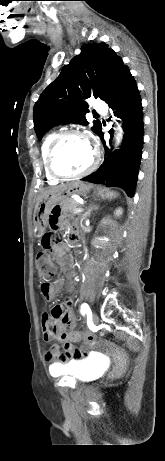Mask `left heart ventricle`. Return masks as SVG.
Instances as JSON below:
<instances>
[{"label": "left heart ventricle", "instance_id": "1", "mask_svg": "<svg viewBox=\"0 0 165 461\" xmlns=\"http://www.w3.org/2000/svg\"><path fill=\"white\" fill-rule=\"evenodd\" d=\"M92 157V148L87 140L81 137H68L58 146L54 164L62 174H76L90 165Z\"/></svg>", "mask_w": 165, "mask_h": 461}]
</instances>
